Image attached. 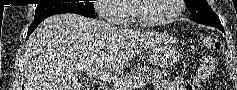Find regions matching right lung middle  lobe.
<instances>
[{
	"label": "right lung middle lobe",
	"mask_w": 237,
	"mask_h": 90,
	"mask_svg": "<svg viewBox=\"0 0 237 90\" xmlns=\"http://www.w3.org/2000/svg\"><path fill=\"white\" fill-rule=\"evenodd\" d=\"M72 11H83L95 13L93 3H59V4H38L34 16V20L43 19L55 14L67 13Z\"/></svg>",
	"instance_id": "dd1d6c3e"
}]
</instances>
